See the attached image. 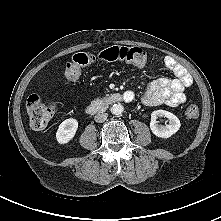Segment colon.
I'll return each mask as SVG.
<instances>
[{
	"instance_id": "1",
	"label": "colon",
	"mask_w": 221,
	"mask_h": 221,
	"mask_svg": "<svg viewBox=\"0 0 221 221\" xmlns=\"http://www.w3.org/2000/svg\"><path fill=\"white\" fill-rule=\"evenodd\" d=\"M146 60V53L138 47L112 46L97 53L78 52L67 63L65 78L71 82L76 81L81 75V69L96 61H123L141 66ZM26 106L30 126L35 130L44 129L57 111L55 102L44 101L38 94L30 95ZM184 113L187 119L194 120L199 116V108L196 105H189Z\"/></svg>"
}]
</instances>
